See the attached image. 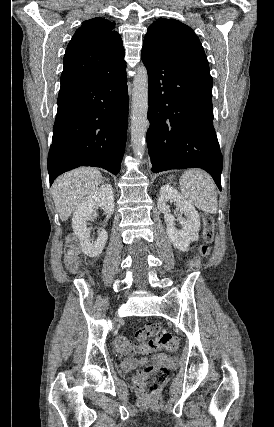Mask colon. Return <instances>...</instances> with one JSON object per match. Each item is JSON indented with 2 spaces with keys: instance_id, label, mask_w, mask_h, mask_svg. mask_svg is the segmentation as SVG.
Wrapping results in <instances>:
<instances>
[{
  "instance_id": "5ec220e1",
  "label": "colon",
  "mask_w": 274,
  "mask_h": 427,
  "mask_svg": "<svg viewBox=\"0 0 274 427\" xmlns=\"http://www.w3.org/2000/svg\"><path fill=\"white\" fill-rule=\"evenodd\" d=\"M213 219L207 216L204 220L203 244L199 247V256L205 257L209 251V244L213 239ZM65 266L68 271H77L81 265L77 256L76 244L68 241L65 244ZM148 343L149 349L161 347L165 351L173 352L177 349V340L168 332L162 331L158 323L150 322L135 331L134 340L125 335H119L114 341L116 350L123 354L133 349L134 344ZM141 352L145 351L140 346ZM167 370L165 368H142L133 377V384L139 388L140 395H158L165 386Z\"/></svg>"
}]
</instances>
